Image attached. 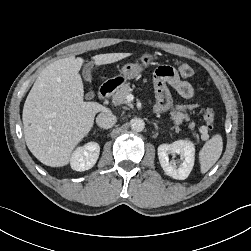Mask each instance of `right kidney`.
<instances>
[{
  "label": "right kidney",
  "instance_id": "1",
  "mask_svg": "<svg viewBox=\"0 0 251 251\" xmlns=\"http://www.w3.org/2000/svg\"><path fill=\"white\" fill-rule=\"evenodd\" d=\"M100 146L96 142H89L77 148L70 158L71 168L75 171L91 169L99 157Z\"/></svg>",
  "mask_w": 251,
  "mask_h": 251
}]
</instances>
